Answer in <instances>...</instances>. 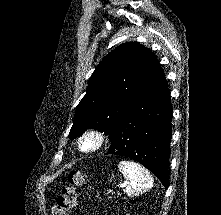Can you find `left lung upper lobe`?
<instances>
[{"instance_id":"obj_1","label":"left lung upper lobe","mask_w":221,"mask_h":215,"mask_svg":"<svg viewBox=\"0 0 221 215\" xmlns=\"http://www.w3.org/2000/svg\"><path fill=\"white\" fill-rule=\"evenodd\" d=\"M160 64L150 49L124 43L111 51L93 72L87 93L76 108L71 139L94 128L109 139L124 114L151 84Z\"/></svg>"}]
</instances>
